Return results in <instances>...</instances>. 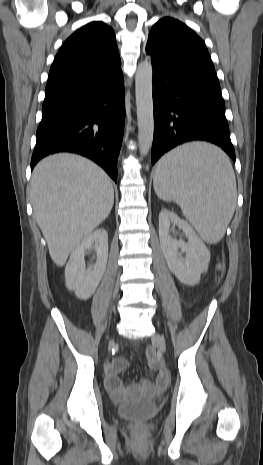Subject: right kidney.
I'll use <instances>...</instances> for the list:
<instances>
[{
	"label": "right kidney",
	"mask_w": 263,
	"mask_h": 465,
	"mask_svg": "<svg viewBox=\"0 0 263 465\" xmlns=\"http://www.w3.org/2000/svg\"><path fill=\"white\" fill-rule=\"evenodd\" d=\"M95 243L96 263L86 269L85 251ZM108 258V234L105 229H98L84 238L73 250L65 268L66 287L75 292L82 300L89 299L97 289L105 272Z\"/></svg>",
	"instance_id": "ca27d5eb"
}]
</instances>
